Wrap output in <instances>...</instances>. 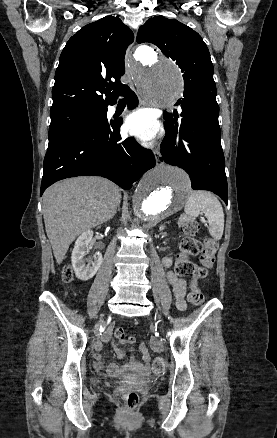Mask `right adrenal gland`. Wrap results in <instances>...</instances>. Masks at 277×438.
Segmentation results:
<instances>
[{"label": "right adrenal gland", "instance_id": "2a0ac1e0", "mask_svg": "<svg viewBox=\"0 0 277 438\" xmlns=\"http://www.w3.org/2000/svg\"><path fill=\"white\" fill-rule=\"evenodd\" d=\"M121 208L120 206H117V212H120Z\"/></svg>", "mask_w": 277, "mask_h": 438}]
</instances>
